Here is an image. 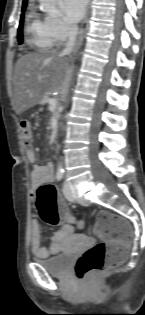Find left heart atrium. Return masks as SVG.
Returning <instances> with one entry per match:
<instances>
[{
	"mask_svg": "<svg viewBox=\"0 0 145 315\" xmlns=\"http://www.w3.org/2000/svg\"><path fill=\"white\" fill-rule=\"evenodd\" d=\"M88 0H61V6L66 18L71 23H77L84 15Z\"/></svg>",
	"mask_w": 145,
	"mask_h": 315,
	"instance_id": "39dd6f15",
	"label": "left heart atrium"
}]
</instances>
